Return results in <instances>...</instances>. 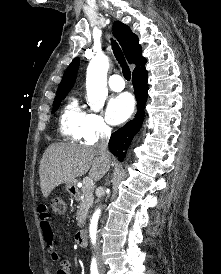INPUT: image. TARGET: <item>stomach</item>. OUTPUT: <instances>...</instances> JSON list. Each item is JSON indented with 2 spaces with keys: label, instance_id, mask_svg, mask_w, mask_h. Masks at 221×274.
Segmentation results:
<instances>
[{
  "label": "stomach",
  "instance_id": "1",
  "mask_svg": "<svg viewBox=\"0 0 221 274\" xmlns=\"http://www.w3.org/2000/svg\"><path fill=\"white\" fill-rule=\"evenodd\" d=\"M74 189H75V183H68V184H66V190L68 192H73Z\"/></svg>",
  "mask_w": 221,
  "mask_h": 274
}]
</instances>
